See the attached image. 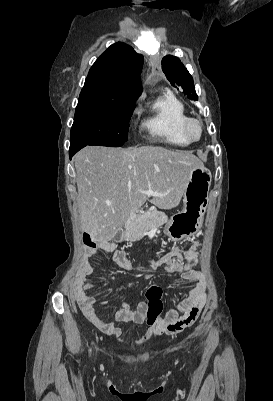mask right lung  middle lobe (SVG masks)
Segmentation results:
<instances>
[{"label": "right lung middle lobe", "mask_w": 273, "mask_h": 401, "mask_svg": "<svg viewBox=\"0 0 273 401\" xmlns=\"http://www.w3.org/2000/svg\"><path fill=\"white\" fill-rule=\"evenodd\" d=\"M133 105L119 100L80 97L71 128L70 146H121L128 138Z\"/></svg>", "instance_id": "dd1d6c3e"}]
</instances>
